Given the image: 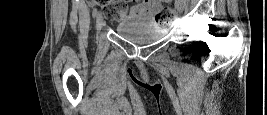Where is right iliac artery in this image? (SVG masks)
Returning a JSON list of instances; mask_svg holds the SVG:
<instances>
[{"instance_id": "obj_1", "label": "right iliac artery", "mask_w": 267, "mask_h": 115, "mask_svg": "<svg viewBox=\"0 0 267 115\" xmlns=\"http://www.w3.org/2000/svg\"><path fill=\"white\" fill-rule=\"evenodd\" d=\"M97 13H98V10H97V8H95V9L93 10V12H92L93 17H95V16L97 15Z\"/></svg>"}]
</instances>
